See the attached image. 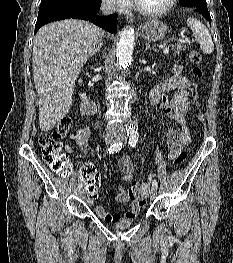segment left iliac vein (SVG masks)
<instances>
[{
  "mask_svg": "<svg viewBox=\"0 0 233 263\" xmlns=\"http://www.w3.org/2000/svg\"><path fill=\"white\" fill-rule=\"evenodd\" d=\"M120 141L122 142H126V137L125 136H121L120 137ZM157 196V188L153 187L150 191V199H154Z\"/></svg>",
  "mask_w": 233,
  "mask_h": 263,
  "instance_id": "4c4485c4",
  "label": "left iliac vein"
}]
</instances>
